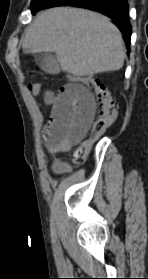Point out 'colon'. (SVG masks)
I'll return each instance as SVG.
<instances>
[{
  "label": "colon",
  "mask_w": 148,
  "mask_h": 279,
  "mask_svg": "<svg viewBox=\"0 0 148 279\" xmlns=\"http://www.w3.org/2000/svg\"><path fill=\"white\" fill-rule=\"evenodd\" d=\"M72 82L81 84L94 93L95 101L97 104V117L91 128V140L96 139L103 134L117 119L118 111L117 106L110 96L105 85L102 81L94 75L85 77H75L71 79ZM33 95H42L43 87L40 83H30L28 86ZM90 151V143L82 146L75 157L76 164H82L87 158Z\"/></svg>",
  "instance_id": "colon-1"
}]
</instances>
